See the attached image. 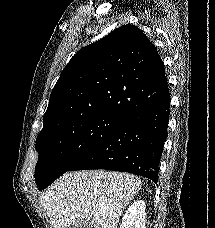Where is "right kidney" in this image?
<instances>
[{
    "instance_id": "obj_1",
    "label": "right kidney",
    "mask_w": 215,
    "mask_h": 228,
    "mask_svg": "<svg viewBox=\"0 0 215 228\" xmlns=\"http://www.w3.org/2000/svg\"><path fill=\"white\" fill-rule=\"evenodd\" d=\"M146 204L144 200H135L129 208H127L120 228H145L146 226Z\"/></svg>"
}]
</instances>
